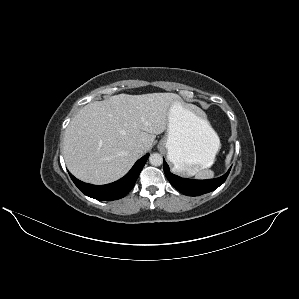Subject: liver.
I'll return each mask as SVG.
<instances>
[{
    "label": "liver",
    "instance_id": "6515ba94",
    "mask_svg": "<svg viewBox=\"0 0 299 299\" xmlns=\"http://www.w3.org/2000/svg\"><path fill=\"white\" fill-rule=\"evenodd\" d=\"M174 93L119 94L85 105L63 140L68 170L78 179L107 184L123 177L168 125ZM144 146L143 153L135 147Z\"/></svg>",
    "mask_w": 299,
    "mask_h": 299
}]
</instances>
